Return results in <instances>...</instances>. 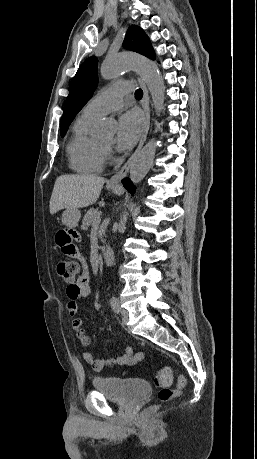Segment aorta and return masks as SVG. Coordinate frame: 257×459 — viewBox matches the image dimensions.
I'll use <instances>...</instances> for the list:
<instances>
[{
    "label": "aorta",
    "mask_w": 257,
    "mask_h": 459,
    "mask_svg": "<svg viewBox=\"0 0 257 459\" xmlns=\"http://www.w3.org/2000/svg\"><path fill=\"white\" fill-rule=\"evenodd\" d=\"M135 69L143 78L152 97L154 108L157 112L163 109L165 100V85L161 72L151 60L129 53H120L107 57L101 65V76L104 79H113L122 72ZM96 136L100 139H110L114 134V122L109 119L102 120L96 127ZM156 146L154 139L150 140L143 149L132 159L129 176L137 185L149 172L154 158ZM127 212H124L118 229L123 230L127 222Z\"/></svg>",
    "instance_id": "aorta-1"
}]
</instances>
